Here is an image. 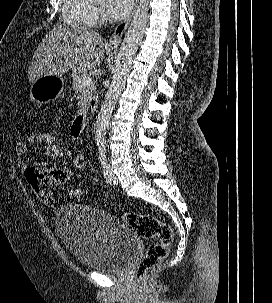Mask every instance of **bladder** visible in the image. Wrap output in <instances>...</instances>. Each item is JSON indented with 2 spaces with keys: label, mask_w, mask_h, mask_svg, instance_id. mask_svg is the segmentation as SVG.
<instances>
[{
  "label": "bladder",
  "mask_w": 272,
  "mask_h": 303,
  "mask_svg": "<svg viewBox=\"0 0 272 303\" xmlns=\"http://www.w3.org/2000/svg\"><path fill=\"white\" fill-rule=\"evenodd\" d=\"M57 233L83 266L99 271H122L135 257L136 232L116 216L87 205L67 203L55 214Z\"/></svg>",
  "instance_id": "obj_1"
}]
</instances>
